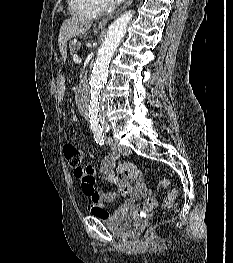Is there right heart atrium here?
Instances as JSON below:
<instances>
[{"label": "right heart atrium", "instance_id": "obj_1", "mask_svg": "<svg viewBox=\"0 0 233 263\" xmlns=\"http://www.w3.org/2000/svg\"><path fill=\"white\" fill-rule=\"evenodd\" d=\"M96 2H97V5H98L100 11L107 10L112 5V0H96Z\"/></svg>", "mask_w": 233, "mask_h": 263}]
</instances>
